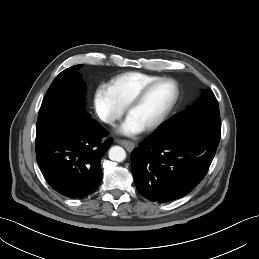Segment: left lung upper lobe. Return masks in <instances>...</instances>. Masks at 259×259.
Segmentation results:
<instances>
[{"label":"left lung upper lobe","mask_w":259,"mask_h":259,"mask_svg":"<svg viewBox=\"0 0 259 259\" xmlns=\"http://www.w3.org/2000/svg\"><path fill=\"white\" fill-rule=\"evenodd\" d=\"M192 122L221 123L219 105L212 91L205 90L203 96L199 98L194 106L174 115L162 124L151 136L154 138L164 137L174 130Z\"/></svg>","instance_id":"5c2ea615"}]
</instances>
